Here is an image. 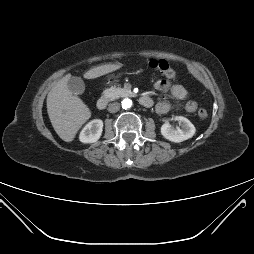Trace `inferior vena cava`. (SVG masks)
<instances>
[{"mask_svg":"<svg viewBox=\"0 0 254 254\" xmlns=\"http://www.w3.org/2000/svg\"><path fill=\"white\" fill-rule=\"evenodd\" d=\"M119 109H120V103H118V102L111 103V104H109V106H108V111H109L110 113H115V112H117Z\"/></svg>","mask_w":254,"mask_h":254,"instance_id":"1","label":"inferior vena cava"}]
</instances>
